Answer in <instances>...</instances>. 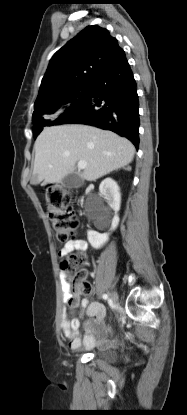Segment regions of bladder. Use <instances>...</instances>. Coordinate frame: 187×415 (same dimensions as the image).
Masks as SVG:
<instances>
[{
    "label": "bladder",
    "mask_w": 187,
    "mask_h": 415,
    "mask_svg": "<svg viewBox=\"0 0 187 415\" xmlns=\"http://www.w3.org/2000/svg\"><path fill=\"white\" fill-rule=\"evenodd\" d=\"M94 355L103 361L114 362L119 357V349L117 347L99 348Z\"/></svg>",
    "instance_id": "obj_1"
}]
</instances>
